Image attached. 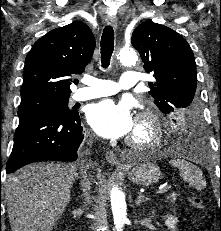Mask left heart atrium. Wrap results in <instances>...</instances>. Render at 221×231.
Instances as JSON below:
<instances>
[{"instance_id": "left-heart-atrium-1", "label": "left heart atrium", "mask_w": 221, "mask_h": 231, "mask_svg": "<svg viewBox=\"0 0 221 231\" xmlns=\"http://www.w3.org/2000/svg\"><path fill=\"white\" fill-rule=\"evenodd\" d=\"M87 121L97 134L105 138L127 136L136 125L128 104L109 99L91 105Z\"/></svg>"}]
</instances>
